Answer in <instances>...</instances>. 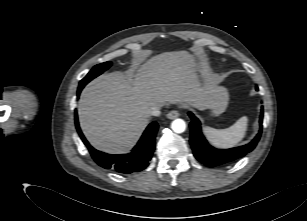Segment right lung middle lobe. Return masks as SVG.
<instances>
[{"label":"right lung middle lobe","instance_id":"obj_1","mask_svg":"<svg viewBox=\"0 0 307 221\" xmlns=\"http://www.w3.org/2000/svg\"><path fill=\"white\" fill-rule=\"evenodd\" d=\"M111 66V62H105L98 64L93 67V69L80 81V85H86L89 81L103 73Z\"/></svg>","mask_w":307,"mask_h":221}]
</instances>
